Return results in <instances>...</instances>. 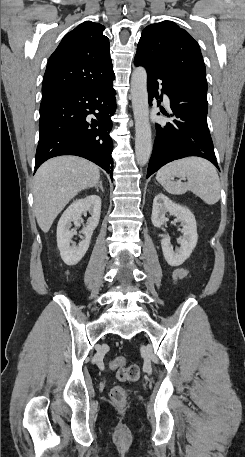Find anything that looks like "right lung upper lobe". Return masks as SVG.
I'll list each match as a JSON object with an SVG mask.
<instances>
[{
    "instance_id": "1",
    "label": "right lung upper lobe",
    "mask_w": 245,
    "mask_h": 457,
    "mask_svg": "<svg viewBox=\"0 0 245 457\" xmlns=\"http://www.w3.org/2000/svg\"><path fill=\"white\" fill-rule=\"evenodd\" d=\"M103 30V25L86 21L64 36L47 63L42 100L114 76Z\"/></svg>"
}]
</instances>
